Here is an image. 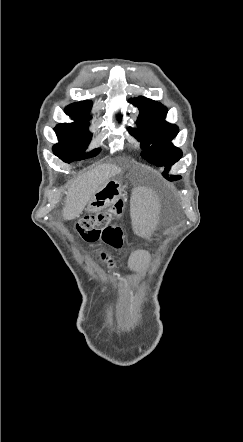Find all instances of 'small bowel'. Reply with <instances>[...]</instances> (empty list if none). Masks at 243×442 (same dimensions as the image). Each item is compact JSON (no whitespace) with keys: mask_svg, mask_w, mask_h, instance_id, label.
Returning a JSON list of instances; mask_svg holds the SVG:
<instances>
[{"mask_svg":"<svg viewBox=\"0 0 243 442\" xmlns=\"http://www.w3.org/2000/svg\"><path fill=\"white\" fill-rule=\"evenodd\" d=\"M108 265H109V267H111V268L114 266V264H113V262H112L111 260L108 261Z\"/></svg>","mask_w":243,"mask_h":442,"instance_id":"c3829d8e","label":"small bowel"}]
</instances>
